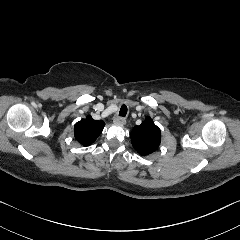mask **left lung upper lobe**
<instances>
[{"instance_id": "1", "label": "left lung upper lobe", "mask_w": 240, "mask_h": 240, "mask_svg": "<svg viewBox=\"0 0 240 240\" xmlns=\"http://www.w3.org/2000/svg\"><path fill=\"white\" fill-rule=\"evenodd\" d=\"M130 137L134 149L140 155H148L159 147L161 131L150 117H146L141 125L133 128Z\"/></svg>"}]
</instances>
